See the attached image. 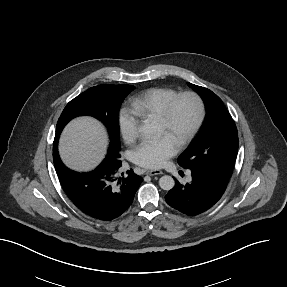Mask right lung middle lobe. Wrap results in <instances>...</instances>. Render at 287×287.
<instances>
[{"label":"right lung middle lobe","mask_w":287,"mask_h":287,"mask_svg":"<svg viewBox=\"0 0 287 287\" xmlns=\"http://www.w3.org/2000/svg\"><path fill=\"white\" fill-rule=\"evenodd\" d=\"M132 85H98L71 100L64 108L57 127L63 128L71 119L88 115L100 120L106 127L110 146L104 159L113 165L120 158V135L118 113L124 98L134 89Z\"/></svg>","instance_id":"right-lung-middle-lobe-1"}]
</instances>
